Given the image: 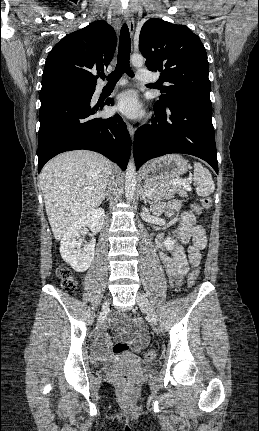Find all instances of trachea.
I'll return each mask as SVG.
<instances>
[{
	"instance_id": "3493384b",
	"label": "trachea",
	"mask_w": 259,
	"mask_h": 431,
	"mask_svg": "<svg viewBox=\"0 0 259 431\" xmlns=\"http://www.w3.org/2000/svg\"><path fill=\"white\" fill-rule=\"evenodd\" d=\"M130 52L131 40L129 29L126 24H123L120 31L117 65L115 70L107 77L109 84H115L121 78L123 73H126L130 77H134L129 64ZM100 77L104 79L106 76L101 74Z\"/></svg>"
}]
</instances>
